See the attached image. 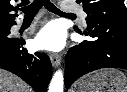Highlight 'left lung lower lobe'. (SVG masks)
Returning a JSON list of instances; mask_svg holds the SVG:
<instances>
[{
  "instance_id": "0a47b994",
  "label": "left lung lower lobe",
  "mask_w": 127,
  "mask_h": 92,
  "mask_svg": "<svg viewBox=\"0 0 127 92\" xmlns=\"http://www.w3.org/2000/svg\"><path fill=\"white\" fill-rule=\"evenodd\" d=\"M82 34L81 31H77ZM85 35L96 38L72 47L66 56L65 86L101 68L127 69V25L100 23L87 27Z\"/></svg>"
}]
</instances>
